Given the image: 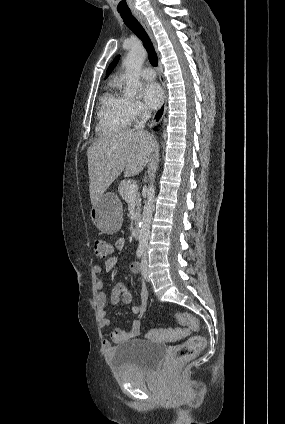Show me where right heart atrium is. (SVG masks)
Instances as JSON below:
<instances>
[{
  "mask_svg": "<svg viewBox=\"0 0 285 424\" xmlns=\"http://www.w3.org/2000/svg\"><path fill=\"white\" fill-rule=\"evenodd\" d=\"M127 111L129 121L136 120L137 118L143 116L146 113V109L143 104L135 99H130L128 101Z\"/></svg>",
  "mask_w": 285,
  "mask_h": 424,
  "instance_id": "1",
  "label": "right heart atrium"
}]
</instances>
